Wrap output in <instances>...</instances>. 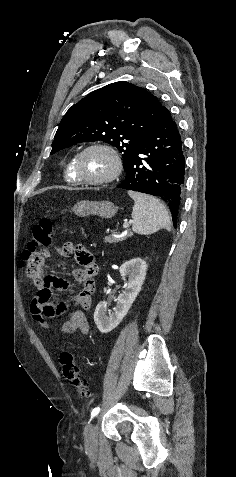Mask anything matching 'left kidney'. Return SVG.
<instances>
[{"label": "left kidney", "mask_w": 236, "mask_h": 477, "mask_svg": "<svg viewBox=\"0 0 236 477\" xmlns=\"http://www.w3.org/2000/svg\"><path fill=\"white\" fill-rule=\"evenodd\" d=\"M147 271V264L141 258H134L121 265L119 272L128 280L124 283L125 290L117 298L114 312L106 315V304L100 302L94 312V321L101 333H108L115 329L128 313L132 303L141 291Z\"/></svg>", "instance_id": "5707ae66"}]
</instances>
